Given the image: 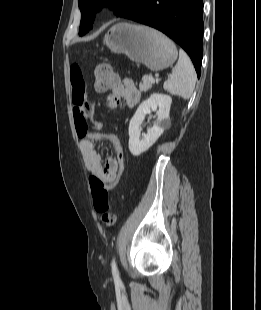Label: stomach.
Here are the masks:
<instances>
[{
	"label": "stomach",
	"mask_w": 261,
	"mask_h": 310,
	"mask_svg": "<svg viewBox=\"0 0 261 310\" xmlns=\"http://www.w3.org/2000/svg\"><path fill=\"white\" fill-rule=\"evenodd\" d=\"M106 46L152 71L168 68L176 61V46L162 33L144 25L118 23L104 37Z\"/></svg>",
	"instance_id": "1"
}]
</instances>
